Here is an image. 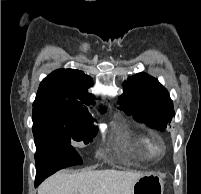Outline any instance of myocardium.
<instances>
[{"label": "myocardium", "instance_id": "myocardium-1", "mask_svg": "<svg viewBox=\"0 0 201 194\" xmlns=\"http://www.w3.org/2000/svg\"><path fill=\"white\" fill-rule=\"evenodd\" d=\"M151 147L153 153L156 155H162L166 150L165 143L163 142L162 139L153 140Z\"/></svg>", "mask_w": 201, "mask_h": 194}]
</instances>
